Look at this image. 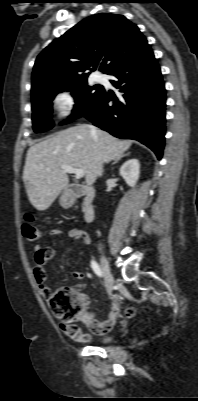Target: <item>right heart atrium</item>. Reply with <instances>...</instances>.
Wrapping results in <instances>:
<instances>
[{"instance_id":"1","label":"right heart atrium","mask_w":198,"mask_h":401,"mask_svg":"<svg viewBox=\"0 0 198 401\" xmlns=\"http://www.w3.org/2000/svg\"><path fill=\"white\" fill-rule=\"evenodd\" d=\"M52 104L58 119L67 120L76 111L78 106V97L75 92L64 90L54 96Z\"/></svg>"}]
</instances>
